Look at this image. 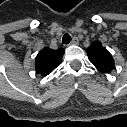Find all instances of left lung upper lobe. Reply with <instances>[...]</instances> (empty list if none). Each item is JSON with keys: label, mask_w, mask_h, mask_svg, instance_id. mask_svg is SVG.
Masks as SVG:
<instances>
[{"label": "left lung upper lobe", "mask_w": 127, "mask_h": 127, "mask_svg": "<svg viewBox=\"0 0 127 127\" xmlns=\"http://www.w3.org/2000/svg\"><path fill=\"white\" fill-rule=\"evenodd\" d=\"M90 62L102 73H110L114 68V60L111 54L100 42H94L87 49Z\"/></svg>", "instance_id": "1"}]
</instances>
